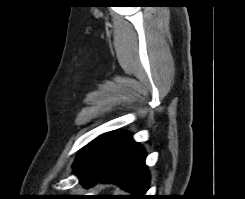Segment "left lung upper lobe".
Returning a JSON list of instances; mask_svg holds the SVG:
<instances>
[{
	"mask_svg": "<svg viewBox=\"0 0 245 199\" xmlns=\"http://www.w3.org/2000/svg\"><path fill=\"white\" fill-rule=\"evenodd\" d=\"M82 151H83V149L80 151V153L78 154V156L81 154Z\"/></svg>",
	"mask_w": 245,
	"mask_h": 199,
	"instance_id": "5c2ea615",
	"label": "left lung upper lobe"
}]
</instances>
